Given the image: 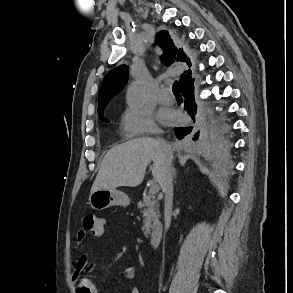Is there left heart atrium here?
<instances>
[{"mask_svg": "<svg viewBox=\"0 0 293 293\" xmlns=\"http://www.w3.org/2000/svg\"><path fill=\"white\" fill-rule=\"evenodd\" d=\"M159 119L164 124H175V123L179 122L180 116L175 111L162 110L159 113Z\"/></svg>", "mask_w": 293, "mask_h": 293, "instance_id": "39dd6f15", "label": "left heart atrium"}]
</instances>
